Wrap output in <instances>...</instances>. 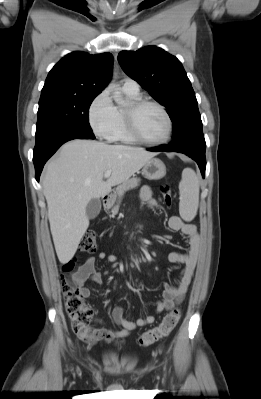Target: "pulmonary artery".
<instances>
[{
  "label": "pulmonary artery",
  "instance_id": "1",
  "mask_svg": "<svg viewBox=\"0 0 261 399\" xmlns=\"http://www.w3.org/2000/svg\"><path fill=\"white\" fill-rule=\"evenodd\" d=\"M122 88L124 91L131 92V93L139 92V84L131 78L123 79Z\"/></svg>",
  "mask_w": 261,
  "mask_h": 399
}]
</instances>
